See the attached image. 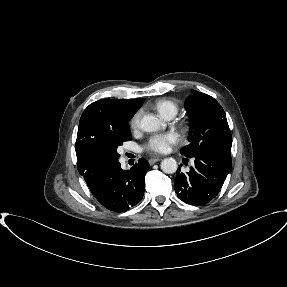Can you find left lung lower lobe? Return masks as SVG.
Listing matches in <instances>:
<instances>
[{"instance_id": "1", "label": "left lung lower lobe", "mask_w": 287, "mask_h": 287, "mask_svg": "<svg viewBox=\"0 0 287 287\" xmlns=\"http://www.w3.org/2000/svg\"><path fill=\"white\" fill-rule=\"evenodd\" d=\"M195 165L187 173L177 170L174 180L179 199L191 205L211 201L221 190L226 176L231 172V151L207 150L193 156Z\"/></svg>"}]
</instances>
